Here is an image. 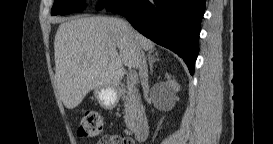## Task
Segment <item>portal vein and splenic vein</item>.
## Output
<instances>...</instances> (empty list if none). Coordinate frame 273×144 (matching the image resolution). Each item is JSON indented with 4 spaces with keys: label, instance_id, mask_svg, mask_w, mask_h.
Returning a JSON list of instances; mask_svg holds the SVG:
<instances>
[{
    "label": "portal vein and splenic vein",
    "instance_id": "1",
    "mask_svg": "<svg viewBox=\"0 0 273 144\" xmlns=\"http://www.w3.org/2000/svg\"><path fill=\"white\" fill-rule=\"evenodd\" d=\"M137 82V75L136 73L130 71V73L127 76V85L128 87L134 86Z\"/></svg>",
    "mask_w": 273,
    "mask_h": 144
}]
</instances>
